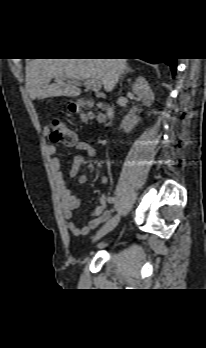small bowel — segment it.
I'll use <instances>...</instances> for the list:
<instances>
[{
    "instance_id": "1",
    "label": "small bowel",
    "mask_w": 206,
    "mask_h": 348,
    "mask_svg": "<svg viewBox=\"0 0 206 348\" xmlns=\"http://www.w3.org/2000/svg\"><path fill=\"white\" fill-rule=\"evenodd\" d=\"M47 133L48 131L45 130L44 134ZM72 146L77 153L73 157V162L68 174L71 177L78 176V182L80 184H86L87 177L85 175H79L80 167L84 160L83 153L92 156L95 154V148L90 143L84 141H77ZM46 154L49 157L50 169L61 199L63 215L67 220H69L67 223V229L74 236L87 235L90 230L97 228L101 223L110 218L111 212L107 209L110 198L102 194L98 206L92 213L93 217L86 225L82 227L77 226L75 222L71 221V219L74 216L76 209L80 206V199L73 194L67 186L65 175L61 170L60 159L56 156V147L54 145L47 144ZM102 183H107V179L105 177L102 178Z\"/></svg>"
}]
</instances>
